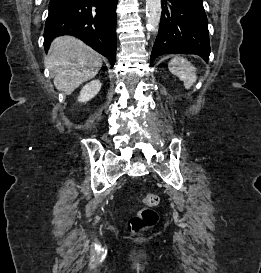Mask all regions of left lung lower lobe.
Segmentation results:
<instances>
[{"label": "left lung lower lobe", "instance_id": "1", "mask_svg": "<svg viewBox=\"0 0 261 273\" xmlns=\"http://www.w3.org/2000/svg\"><path fill=\"white\" fill-rule=\"evenodd\" d=\"M208 21L202 0H162V14L150 64L163 54H196L208 61Z\"/></svg>", "mask_w": 261, "mask_h": 273}]
</instances>
